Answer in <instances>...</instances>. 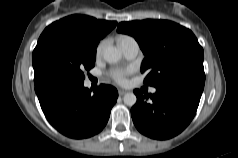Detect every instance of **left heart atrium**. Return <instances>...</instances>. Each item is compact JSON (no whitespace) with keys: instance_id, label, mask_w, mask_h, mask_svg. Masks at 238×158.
I'll return each mask as SVG.
<instances>
[{"instance_id":"1","label":"left heart atrium","mask_w":238,"mask_h":158,"mask_svg":"<svg viewBox=\"0 0 238 158\" xmlns=\"http://www.w3.org/2000/svg\"><path fill=\"white\" fill-rule=\"evenodd\" d=\"M130 72H131V69H114L111 74H112V78L116 82L120 84H124Z\"/></svg>"}]
</instances>
